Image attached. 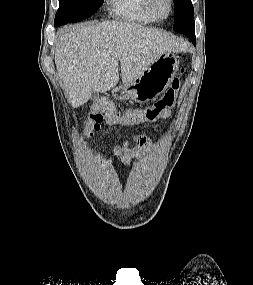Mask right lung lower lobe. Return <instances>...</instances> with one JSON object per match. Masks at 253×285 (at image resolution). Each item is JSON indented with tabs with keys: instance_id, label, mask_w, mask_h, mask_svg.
Returning <instances> with one entry per match:
<instances>
[{
	"instance_id": "right-lung-lower-lobe-1",
	"label": "right lung lower lobe",
	"mask_w": 253,
	"mask_h": 285,
	"mask_svg": "<svg viewBox=\"0 0 253 285\" xmlns=\"http://www.w3.org/2000/svg\"><path fill=\"white\" fill-rule=\"evenodd\" d=\"M55 26H60V24L55 22Z\"/></svg>"
}]
</instances>
